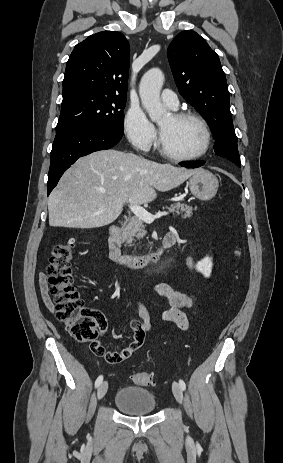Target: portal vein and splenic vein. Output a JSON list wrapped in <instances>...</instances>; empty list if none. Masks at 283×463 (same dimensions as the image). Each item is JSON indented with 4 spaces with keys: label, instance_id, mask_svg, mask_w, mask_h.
<instances>
[{
    "label": "portal vein and splenic vein",
    "instance_id": "portal-vein-and-splenic-vein-1",
    "mask_svg": "<svg viewBox=\"0 0 283 463\" xmlns=\"http://www.w3.org/2000/svg\"><path fill=\"white\" fill-rule=\"evenodd\" d=\"M130 210L138 217L139 219L143 220L146 223H152L156 218H160L161 216L168 215L169 213L166 211L158 212L155 215H152L143 207L137 204H132L129 206Z\"/></svg>",
    "mask_w": 283,
    "mask_h": 463
}]
</instances>
